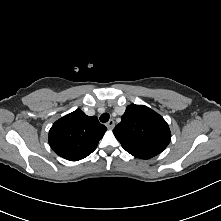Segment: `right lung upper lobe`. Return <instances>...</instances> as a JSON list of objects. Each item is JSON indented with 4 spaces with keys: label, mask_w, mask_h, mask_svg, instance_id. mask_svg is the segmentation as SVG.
<instances>
[{
    "label": "right lung upper lobe",
    "mask_w": 221,
    "mask_h": 221,
    "mask_svg": "<svg viewBox=\"0 0 221 221\" xmlns=\"http://www.w3.org/2000/svg\"><path fill=\"white\" fill-rule=\"evenodd\" d=\"M106 130L96 116L89 117L77 109L52 125L48 142L59 156L70 161H78L96 149Z\"/></svg>",
    "instance_id": "1"
}]
</instances>
